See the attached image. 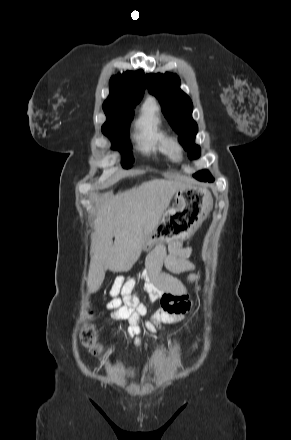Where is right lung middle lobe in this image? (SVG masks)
<instances>
[{
  "mask_svg": "<svg viewBox=\"0 0 291 440\" xmlns=\"http://www.w3.org/2000/svg\"><path fill=\"white\" fill-rule=\"evenodd\" d=\"M107 121L102 126V132L111 140L113 149L121 152L123 156L122 166L125 169L131 167L133 156L129 141V124L133 119L132 109H112L104 110Z\"/></svg>",
  "mask_w": 291,
  "mask_h": 440,
  "instance_id": "dd1d6c3e",
  "label": "right lung middle lobe"
}]
</instances>
